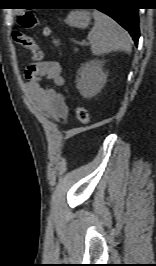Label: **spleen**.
<instances>
[{"label":"spleen","mask_w":156,"mask_h":266,"mask_svg":"<svg viewBox=\"0 0 156 266\" xmlns=\"http://www.w3.org/2000/svg\"><path fill=\"white\" fill-rule=\"evenodd\" d=\"M95 23L88 33L93 55H103L113 51H131V38L127 31L104 13L94 10Z\"/></svg>","instance_id":"1"}]
</instances>
